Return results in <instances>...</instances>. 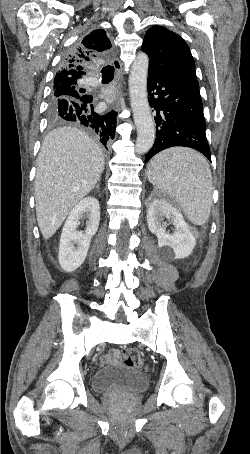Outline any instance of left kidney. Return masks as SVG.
I'll return each mask as SVG.
<instances>
[{"label":"left kidney","instance_id":"obj_1","mask_svg":"<svg viewBox=\"0 0 250 454\" xmlns=\"http://www.w3.org/2000/svg\"><path fill=\"white\" fill-rule=\"evenodd\" d=\"M167 219L174 225V232L166 231ZM149 230L158 238V248L163 255L182 259L188 257L196 244L194 235L179 209L162 198L154 199L147 211Z\"/></svg>","mask_w":250,"mask_h":454}]
</instances>
